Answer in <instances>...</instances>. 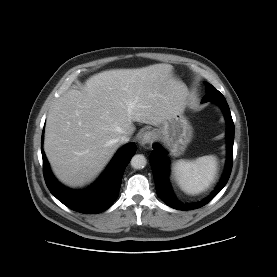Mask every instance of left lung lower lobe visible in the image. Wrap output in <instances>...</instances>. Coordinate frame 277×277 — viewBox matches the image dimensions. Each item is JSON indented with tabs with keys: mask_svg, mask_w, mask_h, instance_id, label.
I'll use <instances>...</instances> for the list:
<instances>
[{
	"mask_svg": "<svg viewBox=\"0 0 277 277\" xmlns=\"http://www.w3.org/2000/svg\"><path fill=\"white\" fill-rule=\"evenodd\" d=\"M220 106L224 112V116L227 122V162L226 169L213 193L201 202L184 205L180 203L174 196L171 186L169 184V161L167 158V152L157 144H154L153 151L150 154V164L152 167L156 192L158 196L170 207L179 210H193L200 208L210 202L226 185L232 169L233 161V142H234V123L232 120L231 112L226 100H219L215 102Z\"/></svg>",
	"mask_w": 277,
	"mask_h": 277,
	"instance_id": "1",
	"label": "left lung lower lobe"
}]
</instances>
